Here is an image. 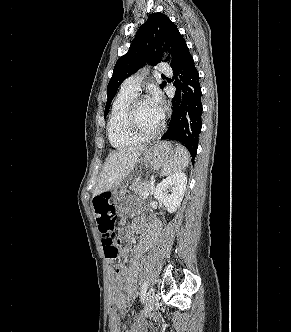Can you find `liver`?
<instances>
[{
    "instance_id": "1",
    "label": "liver",
    "mask_w": 291,
    "mask_h": 332,
    "mask_svg": "<svg viewBox=\"0 0 291 332\" xmlns=\"http://www.w3.org/2000/svg\"><path fill=\"white\" fill-rule=\"evenodd\" d=\"M145 145L122 148L111 153L99 175L98 185L93 196L118 188L121 182L135 169Z\"/></svg>"
}]
</instances>
